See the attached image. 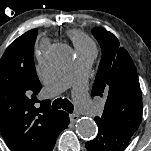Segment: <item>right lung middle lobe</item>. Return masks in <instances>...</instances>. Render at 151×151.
Instances as JSON below:
<instances>
[{
  "mask_svg": "<svg viewBox=\"0 0 151 151\" xmlns=\"http://www.w3.org/2000/svg\"><path fill=\"white\" fill-rule=\"evenodd\" d=\"M3 64L6 68H8L9 70H11L14 73H16L18 71L16 65L13 62H7V63H3Z\"/></svg>",
  "mask_w": 151,
  "mask_h": 151,
  "instance_id": "right-lung-middle-lobe-1",
  "label": "right lung middle lobe"
}]
</instances>
